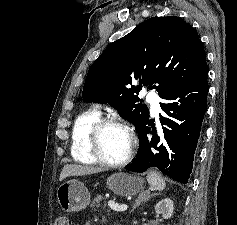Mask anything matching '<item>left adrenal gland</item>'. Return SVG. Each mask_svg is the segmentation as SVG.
<instances>
[{"instance_id":"obj_1","label":"left adrenal gland","mask_w":237,"mask_h":225,"mask_svg":"<svg viewBox=\"0 0 237 225\" xmlns=\"http://www.w3.org/2000/svg\"><path fill=\"white\" fill-rule=\"evenodd\" d=\"M155 195H158V193L150 194L149 190L141 192L138 195V197H137V199L135 201V204H134V206H133V208H132V210L130 212L132 213L141 203L145 202L146 200H148L149 198H151V197H153Z\"/></svg>"}]
</instances>
